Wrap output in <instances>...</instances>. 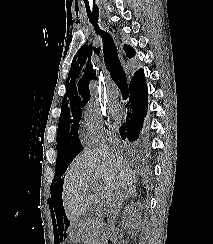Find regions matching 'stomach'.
<instances>
[{"instance_id": "0dacf381", "label": "stomach", "mask_w": 213, "mask_h": 244, "mask_svg": "<svg viewBox=\"0 0 213 244\" xmlns=\"http://www.w3.org/2000/svg\"><path fill=\"white\" fill-rule=\"evenodd\" d=\"M84 221H72L70 227V236L76 241L84 238Z\"/></svg>"}]
</instances>
